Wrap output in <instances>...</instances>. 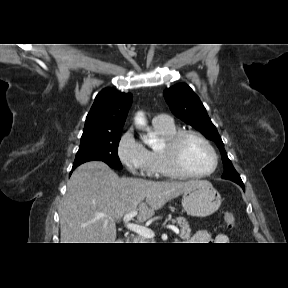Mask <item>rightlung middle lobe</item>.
<instances>
[{
	"instance_id": "right-lung-middle-lobe-1",
	"label": "right lung middle lobe",
	"mask_w": 288,
	"mask_h": 288,
	"mask_svg": "<svg viewBox=\"0 0 288 288\" xmlns=\"http://www.w3.org/2000/svg\"><path fill=\"white\" fill-rule=\"evenodd\" d=\"M120 135L121 132H116L99 138L81 140L73 168L88 161L100 160L112 168L122 169L118 157Z\"/></svg>"
}]
</instances>
